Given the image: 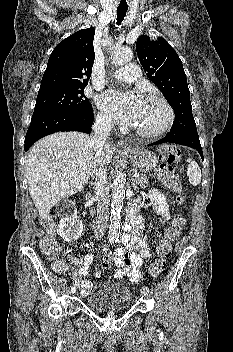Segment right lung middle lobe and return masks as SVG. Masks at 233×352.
Masks as SVG:
<instances>
[{"label":"right lung middle lobe","instance_id":"1","mask_svg":"<svg viewBox=\"0 0 233 352\" xmlns=\"http://www.w3.org/2000/svg\"><path fill=\"white\" fill-rule=\"evenodd\" d=\"M85 87L86 85L40 87L33 115L91 109V103L84 95Z\"/></svg>","mask_w":233,"mask_h":352}]
</instances>
